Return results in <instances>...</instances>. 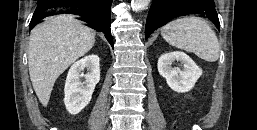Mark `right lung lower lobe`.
Instances as JSON below:
<instances>
[{"mask_svg":"<svg viewBox=\"0 0 257 130\" xmlns=\"http://www.w3.org/2000/svg\"><path fill=\"white\" fill-rule=\"evenodd\" d=\"M112 0H92L81 2L69 1H43L39 0L37 8L31 19L29 28L42 22V19L54 15L50 9L57 7H70L74 12H69L79 16V20L88 23V26L96 31L103 32L109 43L113 46V38L110 31Z\"/></svg>","mask_w":257,"mask_h":130,"instance_id":"98d812e1","label":"right lung lower lobe"}]
</instances>
